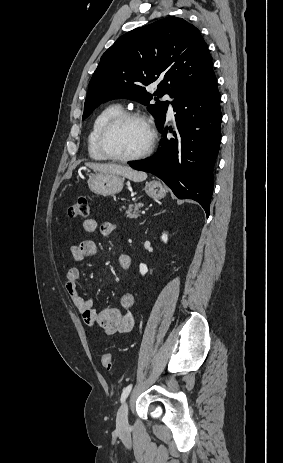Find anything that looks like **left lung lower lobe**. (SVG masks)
<instances>
[{
  "label": "left lung lower lobe",
  "mask_w": 283,
  "mask_h": 463,
  "mask_svg": "<svg viewBox=\"0 0 283 463\" xmlns=\"http://www.w3.org/2000/svg\"><path fill=\"white\" fill-rule=\"evenodd\" d=\"M172 106L176 112V131L165 127L164 121L158 128L163 134L159 152L129 164L162 179L179 199L197 201L209 216L222 121L213 69L179 92ZM168 130L173 132L172 138L167 137Z\"/></svg>",
  "instance_id": "0a47b994"
}]
</instances>
